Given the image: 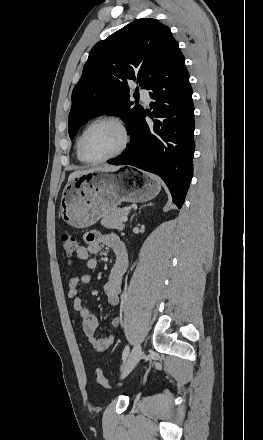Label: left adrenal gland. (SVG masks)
Instances as JSON below:
<instances>
[{
    "mask_svg": "<svg viewBox=\"0 0 263 440\" xmlns=\"http://www.w3.org/2000/svg\"><path fill=\"white\" fill-rule=\"evenodd\" d=\"M150 205H152V203L147 204V205H143L142 207L139 208V211H140L142 208H144V207H146V206H150ZM134 215H135V214H134ZM134 215H132L131 220L133 219Z\"/></svg>",
    "mask_w": 263,
    "mask_h": 440,
    "instance_id": "obj_1",
    "label": "left adrenal gland"
}]
</instances>
